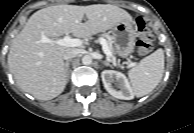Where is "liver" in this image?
<instances>
[{
  "mask_svg": "<svg viewBox=\"0 0 194 133\" xmlns=\"http://www.w3.org/2000/svg\"><path fill=\"white\" fill-rule=\"evenodd\" d=\"M86 15L87 21L82 22ZM131 15L111 4L88 6L56 5L41 9L28 19L13 39L8 66L18 86L39 100H50L66 86L63 55L70 47L56 43L59 37L72 33L86 38L111 29ZM47 37L50 42H41Z\"/></svg>",
  "mask_w": 194,
  "mask_h": 133,
  "instance_id": "1",
  "label": "liver"
}]
</instances>
